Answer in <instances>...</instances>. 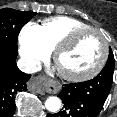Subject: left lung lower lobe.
Segmentation results:
<instances>
[{
	"instance_id": "obj_1",
	"label": "left lung lower lobe",
	"mask_w": 117,
	"mask_h": 117,
	"mask_svg": "<svg viewBox=\"0 0 117 117\" xmlns=\"http://www.w3.org/2000/svg\"><path fill=\"white\" fill-rule=\"evenodd\" d=\"M111 74L104 69L92 80L65 84L58 95L64 109L48 117H96L110 92Z\"/></svg>"
}]
</instances>
